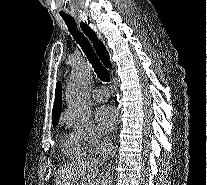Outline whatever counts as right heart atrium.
Instances as JSON below:
<instances>
[{"label":"right heart atrium","instance_id":"1","mask_svg":"<svg viewBox=\"0 0 207 185\" xmlns=\"http://www.w3.org/2000/svg\"><path fill=\"white\" fill-rule=\"evenodd\" d=\"M64 123L72 127V133L92 152L102 148L108 136L90 118H83L66 112L62 116Z\"/></svg>","mask_w":207,"mask_h":185}]
</instances>
